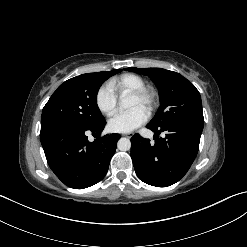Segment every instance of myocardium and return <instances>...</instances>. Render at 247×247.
I'll list each match as a JSON object with an SVG mask.
<instances>
[{
  "mask_svg": "<svg viewBox=\"0 0 247 247\" xmlns=\"http://www.w3.org/2000/svg\"><path fill=\"white\" fill-rule=\"evenodd\" d=\"M131 96L138 99L148 113H151L154 110L158 102L156 91L147 87L132 92Z\"/></svg>",
  "mask_w": 247,
  "mask_h": 247,
  "instance_id": "myocardium-1",
  "label": "myocardium"
}]
</instances>
